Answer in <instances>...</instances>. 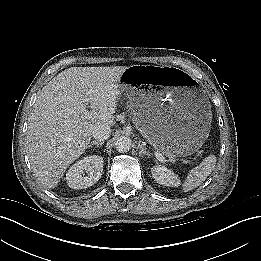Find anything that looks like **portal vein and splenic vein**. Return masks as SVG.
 Masks as SVG:
<instances>
[{"label": "portal vein and splenic vein", "instance_id": "obj_1", "mask_svg": "<svg viewBox=\"0 0 261 261\" xmlns=\"http://www.w3.org/2000/svg\"><path fill=\"white\" fill-rule=\"evenodd\" d=\"M155 157L162 163L166 162L165 157L158 151L155 152Z\"/></svg>", "mask_w": 261, "mask_h": 261}]
</instances>
